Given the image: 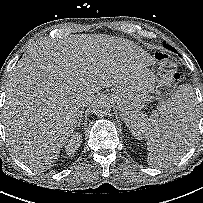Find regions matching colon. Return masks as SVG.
Masks as SVG:
<instances>
[{"label":"colon","instance_id":"1","mask_svg":"<svg viewBox=\"0 0 203 203\" xmlns=\"http://www.w3.org/2000/svg\"><path fill=\"white\" fill-rule=\"evenodd\" d=\"M155 58L158 63L157 93L161 96H166L172 92L181 76L176 70L174 59L161 52H157Z\"/></svg>","mask_w":203,"mask_h":203}]
</instances>
